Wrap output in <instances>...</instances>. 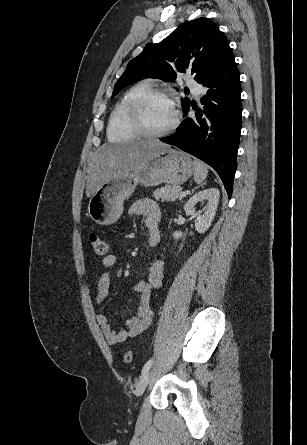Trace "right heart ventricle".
<instances>
[{
	"label": "right heart ventricle",
	"mask_w": 307,
	"mask_h": 445,
	"mask_svg": "<svg viewBox=\"0 0 307 445\" xmlns=\"http://www.w3.org/2000/svg\"><path fill=\"white\" fill-rule=\"evenodd\" d=\"M150 90L147 83H141L131 88L115 105L111 112L107 134L110 140H139L132 110L135 103Z\"/></svg>",
	"instance_id": "right-heart-ventricle-1"
}]
</instances>
